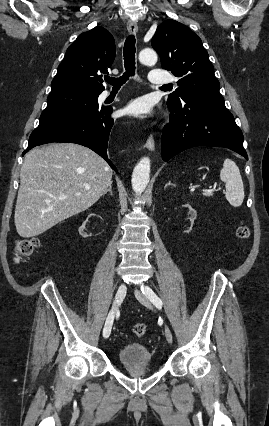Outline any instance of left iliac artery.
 Instances as JSON below:
<instances>
[{
  "label": "left iliac artery",
  "instance_id": "left-iliac-artery-1",
  "mask_svg": "<svg viewBox=\"0 0 269 426\" xmlns=\"http://www.w3.org/2000/svg\"><path fill=\"white\" fill-rule=\"evenodd\" d=\"M142 293L157 307H162V300L149 287H141Z\"/></svg>",
  "mask_w": 269,
  "mask_h": 426
}]
</instances>
